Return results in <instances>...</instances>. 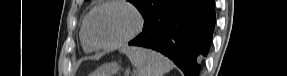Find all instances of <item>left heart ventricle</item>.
Listing matches in <instances>:
<instances>
[{
  "label": "left heart ventricle",
  "instance_id": "obj_1",
  "mask_svg": "<svg viewBox=\"0 0 287 76\" xmlns=\"http://www.w3.org/2000/svg\"><path fill=\"white\" fill-rule=\"evenodd\" d=\"M133 14L122 6H109L98 10L91 18L90 33L101 44L116 41L134 26Z\"/></svg>",
  "mask_w": 287,
  "mask_h": 76
}]
</instances>
